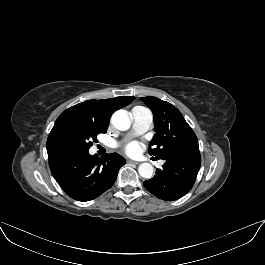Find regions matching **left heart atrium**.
<instances>
[{
    "instance_id": "1",
    "label": "left heart atrium",
    "mask_w": 265,
    "mask_h": 265,
    "mask_svg": "<svg viewBox=\"0 0 265 265\" xmlns=\"http://www.w3.org/2000/svg\"><path fill=\"white\" fill-rule=\"evenodd\" d=\"M125 150L128 154H136L140 150V145L137 142H131L125 147Z\"/></svg>"
}]
</instances>
